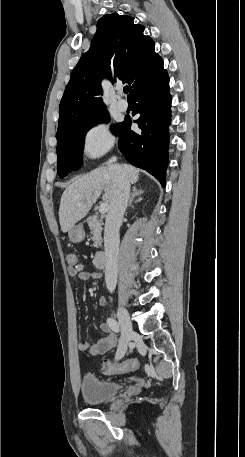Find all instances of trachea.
<instances>
[{"label":"trachea","instance_id":"3493384b","mask_svg":"<svg viewBox=\"0 0 245 457\" xmlns=\"http://www.w3.org/2000/svg\"><path fill=\"white\" fill-rule=\"evenodd\" d=\"M123 91L124 93H128V87H124Z\"/></svg>","mask_w":245,"mask_h":457}]
</instances>
